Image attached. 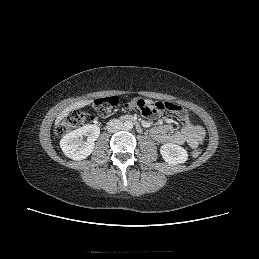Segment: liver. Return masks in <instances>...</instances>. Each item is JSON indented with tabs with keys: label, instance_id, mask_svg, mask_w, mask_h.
<instances>
[{
	"label": "liver",
	"instance_id": "liver-1",
	"mask_svg": "<svg viewBox=\"0 0 259 259\" xmlns=\"http://www.w3.org/2000/svg\"><path fill=\"white\" fill-rule=\"evenodd\" d=\"M93 102V100H81L78 102H75L73 104H71L70 106H68L67 108H65L56 118L55 120V126H57L61 120L66 117L71 111L80 109L82 107H85L89 104H91Z\"/></svg>",
	"mask_w": 259,
	"mask_h": 259
}]
</instances>
